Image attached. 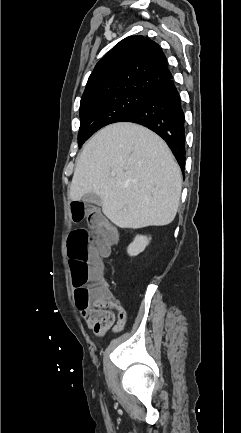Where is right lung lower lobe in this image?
<instances>
[{"mask_svg":"<svg viewBox=\"0 0 241 433\" xmlns=\"http://www.w3.org/2000/svg\"><path fill=\"white\" fill-rule=\"evenodd\" d=\"M123 122L141 124L162 137L180 167H185V119L179 92L173 79L150 89L142 105L125 117Z\"/></svg>","mask_w":241,"mask_h":433,"instance_id":"1","label":"right lung lower lobe"}]
</instances>
